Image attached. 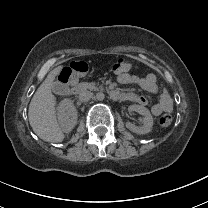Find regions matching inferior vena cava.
<instances>
[{"label": "inferior vena cava", "instance_id": "1", "mask_svg": "<svg viewBox=\"0 0 208 208\" xmlns=\"http://www.w3.org/2000/svg\"><path fill=\"white\" fill-rule=\"evenodd\" d=\"M92 97H93V93L91 91H86V90L80 92L78 96L79 100L82 102L89 101Z\"/></svg>", "mask_w": 208, "mask_h": 208}]
</instances>
